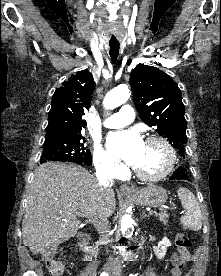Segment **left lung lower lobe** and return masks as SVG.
<instances>
[{
  "mask_svg": "<svg viewBox=\"0 0 221 276\" xmlns=\"http://www.w3.org/2000/svg\"><path fill=\"white\" fill-rule=\"evenodd\" d=\"M172 180H189L186 169L185 168H179L175 170L172 177L170 178Z\"/></svg>",
  "mask_w": 221,
  "mask_h": 276,
  "instance_id": "1",
  "label": "left lung lower lobe"
}]
</instances>
